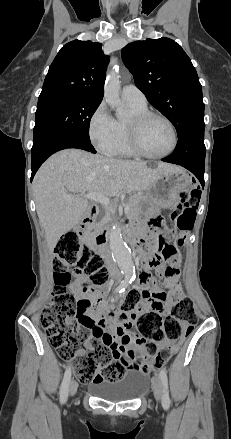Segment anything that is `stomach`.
I'll list each match as a JSON object with an SVG mask.
<instances>
[{
    "instance_id": "stomach-1",
    "label": "stomach",
    "mask_w": 231,
    "mask_h": 439,
    "mask_svg": "<svg viewBox=\"0 0 231 439\" xmlns=\"http://www.w3.org/2000/svg\"><path fill=\"white\" fill-rule=\"evenodd\" d=\"M193 186L194 179L185 170L166 173L145 190L142 211L151 213L173 208L180 200V193L189 192Z\"/></svg>"
}]
</instances>
